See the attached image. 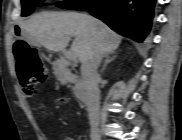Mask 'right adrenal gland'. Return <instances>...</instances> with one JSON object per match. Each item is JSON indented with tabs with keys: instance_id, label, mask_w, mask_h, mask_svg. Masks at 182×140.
Segmentation results:
<instances>
[{
	"instance_id": "1",
	"label": "right adrenal gland",
	"mask_w": 182,
	"mask_h": 140,
	"mask_svg": "<svg viewBox=\"0 0 182 140\" xmlns=\"http://www.w3.org/2000/svg\"><path fill=\"white\" fill-rule=\"evenodd\" d=\"M114 54V53H106L105 56V61L104 64L101 68V72H103V70L106 68L107 64L110 63L116 56H113L112 58H110V55Z\"/></svg>"
}]
</instances>
